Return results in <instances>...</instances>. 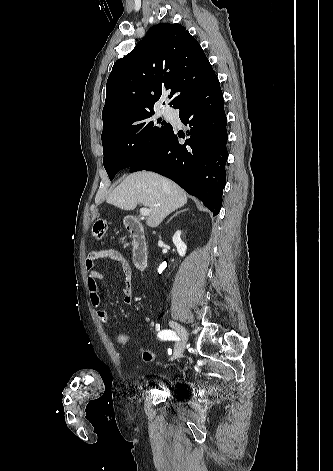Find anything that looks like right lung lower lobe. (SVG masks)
I'll return each mask as SVG.
<instances>
[{
	"mask_svg": "<svg viewBox=\"0 0 333 471\" xmlns=\"http://www.w3.org/2000/svg\"><path fill=\"white\" fill-rule=\"evenodd\" d=\"M176 109L180 110L183 124L190 127L187 132L190 138L180 143V132L171 127L129 172H157L175 181L217 215L226 184L228 135L223 94L215 73L197 84Z\"/></svg>",
	"mask_w": 333,
	"mask_h": 471,
	"instance_id": "98d812e1",
	"label": "right lung lower lobe"
}]
</instances>
